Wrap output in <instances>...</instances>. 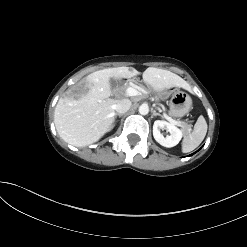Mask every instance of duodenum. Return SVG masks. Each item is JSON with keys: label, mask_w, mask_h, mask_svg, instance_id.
Masks as SVG:
<instances>
[{"label": "duodenum", "mask_w": 247, "mask_h": 247, "mask_svg": "<svg viewBox=\"0 0 247 247\" xmlns=\"http://www.w3.org/2000/svg\"><path fill=\"white\" fill-rule=\"evenodd\" d=\"M131 81H134V84L137 85H143L144 88L148 89V91H151V88L147 86V84L143 80L136 79V77L131 78Z\"/></svg>", "instance_id": "obj_1"}]
</instances>
